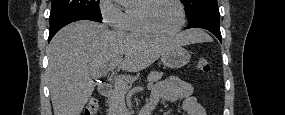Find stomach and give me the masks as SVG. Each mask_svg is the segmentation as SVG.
<instances>
[{"mask_svg":"<svg viewBox=\"0 0 285 115\" xmlns=\"http://www.w3.org/2000/svg\"><path fill=\"white\" fill-rule=\"evenodd\" d=\"M189 52L181 46H174L161 55V62L168 68H181L190 61Z\"/></svg>","mask_w":285,"mask_h":115,"instance_id":"stomach-1","label":"stomach"}]
</instances>
